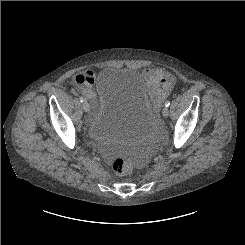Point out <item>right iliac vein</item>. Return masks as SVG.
Masks as SVG:
<instances>
[{
	"mask_svg": "<svg viewBox=\"0 0 245 245\" xmlns=\"http://www.w3.org/2000/svg\"><path fill=\"white\" fill-rule=\"evenodd\" d=\"M82 107H83L85 112H89L90 111V105H89L88 102H83Z\"/></svg>",
	"mask_w": 245,
	"mask_h": 245,
	"instance_id": "right-iliac-vein-1",
	"label": "right iliac vein"
}]
</instances>
